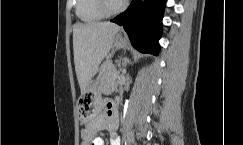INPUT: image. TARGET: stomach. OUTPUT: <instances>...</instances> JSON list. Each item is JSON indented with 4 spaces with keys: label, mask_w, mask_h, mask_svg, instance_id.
<instances>
[{
    "label": "stomach",
    "mask_w": 243,
    "mask_h": 145,
    "mask_svg": "<svg viewBox=\"0 0 243 145\" xmlns=\"http://www.w3.org/2000/svg\"><path fill=\"white\" fill-rule=\"evenodd\" d=\"M125 45L126 39L121 34H118L115 37V46L123 48ZM100 77L98 76L96 80H91L82 97L78 98L80 119L84 122H88L94 116H98V112L100 111L99 106L103 103V98H100V94H98Z\"/></svg>",
    "instance_id": "0dacf381"
}]
</instances>
